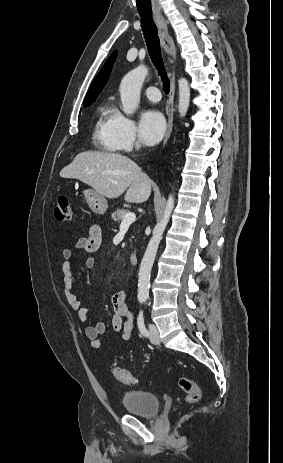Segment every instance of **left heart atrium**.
I'll return each mask as SVG.
<instances>
[{
    "instance_id": "1",
    "label": "left heart atrium",
    "mask_w": 283,
    "mask_h": 463,
    "mask_svg": "<svg viewBox=\"0 0 283 463\" xmlns=\"http://www.w3.org/2000/svg\"><path fill=\"white\" fill-rule=\"evenodd\" d=\"M166 130L163 115L156 110H147L142 113L138 132L144 143L154 145L160 141Z\"/></svg>"
}]
</instances>
